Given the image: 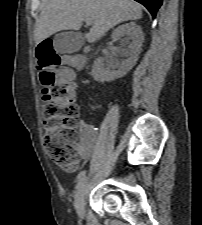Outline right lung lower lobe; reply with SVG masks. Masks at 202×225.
Instances as JSON below:
<instances>
[{
  "label": "right lung lower lobe",
  "mask_w": 202,
  "mask_h": 225,
  "mask_svg": "<svg viewBox=\"0 0 202 225\" xmlns=\"http://www.w3.org/2000/svg\"><path fill=\"white\" fill-rule=\"evenodd\" d=\"M136 1L143 4L152 14L153 18L156 16L157 10L162 5V0H136Z\"/></svg>",
  "instance_id": "1"
}]
</instances>
